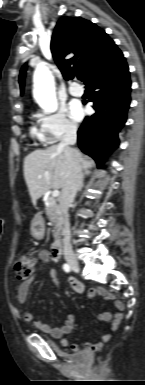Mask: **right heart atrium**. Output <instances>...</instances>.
<instances>
[{"instance_id":"right-heart-atrium-1","label":"right heart atrium","mask_w":145,"mask_h":385,"mask_svg":"<svg viewBox=\"0 0 145 385\" xmlns=\"http://www.w3.org/2000/svg\"><path fill=\"white\" fill-rule=\"evenodd\" d=\"M38 121L42 140L48 144L56 143L77 131V125L68 117L64 107H59L52 113L40 114Z\"/></svg>"}]
</instances>
